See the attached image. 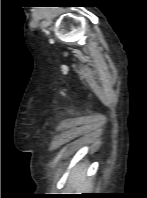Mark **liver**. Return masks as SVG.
Listing matches in <instances>:
<instances>
[{
	"instance_id": "6515ba94",
	"label": "liver",
	"mask_w": 147,
	"mask_h": 198,
	"mask_svg": "<svg viewBox=\"0 0 147 198\" xmlns=\"http://www.w3.org/2000/svg\"><path fill=\"white\" fill-rule=\"evenodd\" d=\"M86 167L83 164H79L71 171L68 184L72 190L77 192H88L92 189V182L85 179Z\"/></svg>"
}]
</instances>
